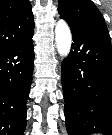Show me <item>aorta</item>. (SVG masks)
Returning a JSON list of instances; mask_svg holds the SVG:
<instances>
[{
  "instance_id": "aorta-1",
  "label": "aorta",
  "mask_w": 112,
  "mask_h": 135,
  "mask_svg": "<svg viewBox=\"0 0 112 135\" xmlns=\"http://www.w3.org/2000/svg\"><path fill=\"white\" fill-rule=\"evenodd\" d=\"M72 35L68 24L59 20L55 26V43L60 56L67 57L70 53Z\"/></svg>"
}]
</instances>
